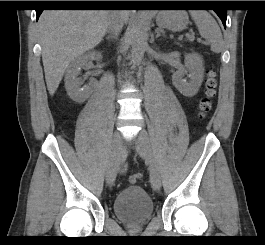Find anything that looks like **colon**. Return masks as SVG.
<instances>
[{"label":"colon","instance_id":"colon-1","mask_svg":"<svg viewBox=\"0 0 265 245\" xmlns=\"http://www.w3.org/2000/svg\"><path fill=\"white\" fill-rule=\"evenodd\" d=\"M217 89V80L215 76V72L212 67H210L207 71V77L204 84V95L199 103V114L201 117L205 116L210 110L212 106V99L216 95ZM142 178L141 173H134L130 176L129 180L132 183L137 182Z\"/></svg>","mask_w":265,"mask_h":245}]
</instances>
